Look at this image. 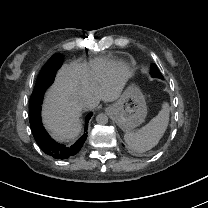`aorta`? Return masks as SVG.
I'll use <instances>...</instances> for the list:
<instances>
[{"instance_id": "1", "label": "aorta", "mask_w": 208, "mask_h": 208, "mask_svg": "<svg viewBox=\"0 0 208 208\" xmlns=\"http://www.w3.org/2000/svg\"><path fill=\"white\" fill-rule=\"evenodd\" d=\"M96 121L98 124L100 125H105L108 123V116L106 114H99L97 117H96Z\"/></svg>"}]
</instances>
